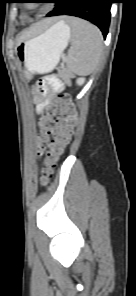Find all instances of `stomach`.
<instances>
[{
	"label": "stomach",
	"instance_id": "0dacf381",
	"mask_svg": "<svg viewBox=\"0 0 136 296\" xmlns=\"http://www.w3.org/2000/svg\"><path fill=\"white\" fill-rule=\"evenodd\" d=\"M70 34L69 26L59 21L44 33L19 42L16 54L31 74L51 72L67 46Z\"/></svg>",
	"mask_w": 136,
	"mask_h": 296
}]
</instances>
